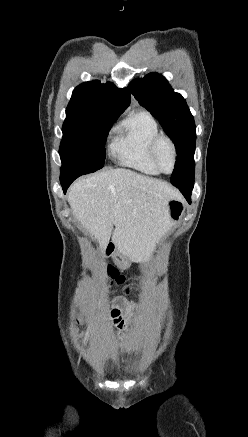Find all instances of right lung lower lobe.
Returning <instances> with one entry per match:
<instances>
[{
  "mask_svg": "<svg viewBox=\"0 0 248 437\" xmlns=\"http://www.w3.org/2000/svg\"><path fill=\"white\" fill-rule=\"evenodd\" d=\"M79 176H81L80 173L61 174L60 182H61L64 193H66L69 185Z\"/></svg>",
  "mask_w": 248,
  "mask_h": 437,
  "instance_id": "98d812e1",
  "label": "right lung lower lobe"
}]
</instances>
